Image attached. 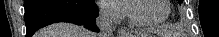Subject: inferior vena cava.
Returning a JSON list of instances; mask_svg holds the SVG:
<instances>
[{
    "instance_id": "1",
    "label": "inferior vena cava",
    "mask_w": 219,
    "mask_h": 37,
    "mask_svg": "<svg viewBox=\"0 0 219 37\" xmlns=\"http://www.w3.org/2000/svg\"><path fill=\"white\" fill-rule=\"evenodd\" d=\"M114 11L110 6H102L96 18V25L99 28V37H111Z\"/></svg>"
}]
</instances>
